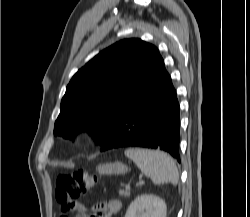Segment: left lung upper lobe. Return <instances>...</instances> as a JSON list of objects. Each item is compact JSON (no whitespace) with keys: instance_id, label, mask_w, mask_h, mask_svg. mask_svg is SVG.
I'll return each mask as SVG.
<instances>
[{"instance_id":"left-lung-upper-lobe-1","label":"left lung upper lobe","mask_w":250,"mask_h":217,"mask_svg":"<svg viewBox=\"0 0 250 217\" xmlns=\"http://www.w3.org/2000/svg\"><path fill=\"white\" fill-rule=\"evenodd\" d=\"M159 55L140 39L119 41L96 55L68 84L54 135L73 138L85 130L101 145Z\"/></svg>"}]
</instances>
